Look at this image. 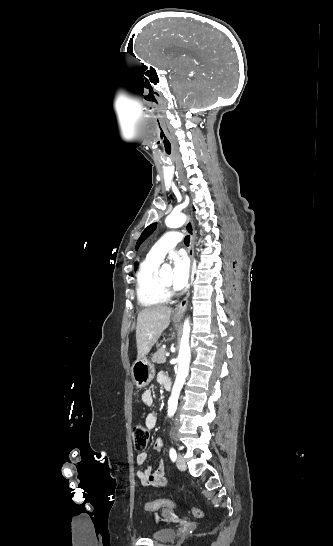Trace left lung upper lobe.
Here are the masks:
<instances>
[{"label":"left lung upper lobe","mask_w":333,"mask_h":546,"mask_svg":"<svg viewBox=\"0 0 333 546\" xmlns=\"http://www.w3.org/2000/svg\"><path fill=\"white\" fill-rule=\"evenodd\" d=\"M156 226L157 223H153L142 232L140 238L137 241L136 249H138L139 245L156 229Z\"/></svg>","instance_id":"5c2ea615"}]
</instances>
